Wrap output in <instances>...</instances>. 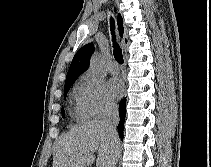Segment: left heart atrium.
<instances>
[{
	"mask_svg": "<svg viewBox=\"0 0 211 167\" xmlns=\"http://www.w3.org/2000/svg\"><path fill=\"white\" fill-rule=\"evenodd\" d=\"M106 89L108 94L113 98H119L123 91H124V85L123 82L118 78H111L107 81Z\"/></svg>",
	"mask_w": 211,
	"mask_h": 167,
	"instance_id": "obj_1",
	"label": "left heart atrium"
}]
</instances>
